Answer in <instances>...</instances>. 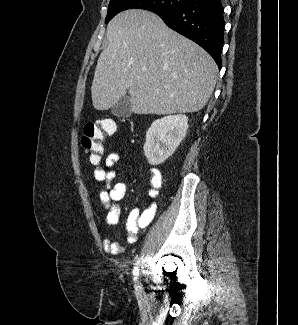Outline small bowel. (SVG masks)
<instances>
[{
  "label": "small bowel",
  "mask_w": 298,
  "mask_h": 325,
  "mask_svg": "<svg viewBox=\"0 0 298 325\" xmlns=\"http://www.w3.org/2000/svg\"><path fill=\"white\" fill-rule=\"evenodd\" d=\"M121 162V156L118 153H110L104 160L101 158L95 163L94 177L105 186L99 194L100 201L106 211V225L108 228L114 226L119 218V203L124 198L127 187L123 182L112 184L115 178L114 167ZM149 174L148 200L143 211L139 208H133L127 218V241L134 243L138 235L145 230L154 219L156 214V197L162 185V174L157 168H151ZM105 251L112 254H119L124 251V245L120 242H114L108 238L103 241Z\"/></svg>",
  "instance_id": "c3829d8e"
}]
</instances>
